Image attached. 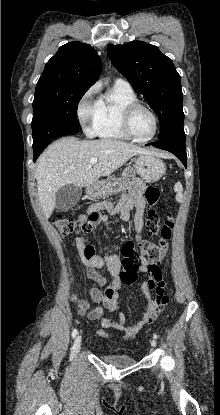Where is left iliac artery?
I'll list each match as a JSON object with an SVG mask.
<instances>
[{
  "label": "left iliac artery",
  "instance_id": "44dca946",
  "mask_svg": "<svg viewBox=\"0 0 220 415\" xmlns=\"http://www.w3.org/2000/svg\"><path fill=\"white\" fill-rule=\"evenodd\" d=\"M157 337H158L157 334H154V338L157 339Z\"/></svg>",
  "mask_w": 220,
  "mask_h": 415
}]
</instances>
